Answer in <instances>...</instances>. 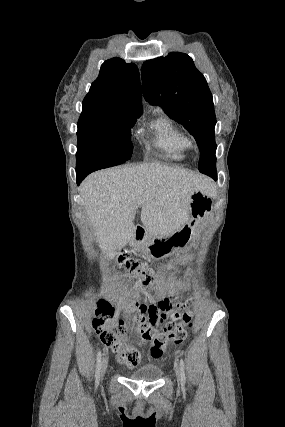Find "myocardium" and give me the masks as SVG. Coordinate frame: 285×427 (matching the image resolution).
Returning a JSON list of instances; mask_svg holds the SVG:
<instances>
[{
    "instance_id": "obj_1",
    "label": "myocardium",
    "mask_w": 285,
    "mask_h": 427,
    "mask_svg": "<svg viewBox=\"0 0 285 427\" xmlns=\"http://www.w3.org/2000/svg\"><path fill=\"white\" fill-rule=\"evenodd\" d=\"M188 142H189L190 145L192 144V142L190 140H188Z\"/></svg>"
}]
</instances>
